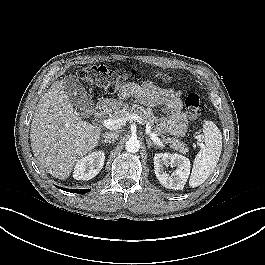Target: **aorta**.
Returning <instances> with one entry per match:
<instances>
[{"mask_svg": "<svg viewBox=\"0 0 265 265\" xmlns=\"http://www.w3.org/2000/svg\"><path fill=\"white\" fill-rule=\"evenodd\" d=\"M126 150L130 153H136L140 149V143L136 138H131L126 142Z\"/></svg>", "mask_w": 265, "mask_h": 265, "instance_id": "1", "label": "aorta"}]
</instances>
